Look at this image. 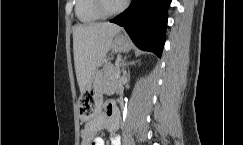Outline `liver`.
<instances>
[{
	"label": "liver",
	"instance_id": "liver-1",
	"mask_svg": "<svg viewBox=\"0 0 243 145\" xmlns=\"http://www.w3.org/2000/svg\"><path fill=\"white\" fill-rule=\"evenodd\" d=\"M121 30L120 26L109 22L76 24L73 27L74 65L81 93Z\"/></svg>",
	"mask_w": 243,
	"mask_h": 145
}]
</instances>
